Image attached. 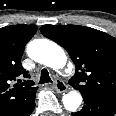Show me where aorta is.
Wrapping results in <instances>:
<instances>
[{
	"mask_svg": "<svg viewBox=\"0 0 116 116\" xmlns=\"http://www.w3.org/2000/svg\"><path fill=\"white\" fill-rule=\"evenodd\" d=\"M26 52L32 60L53 69L62 68L67 61L64 50L48 39L31 41L26 48ZM62 100L65 109L74 112L81 105L82 97L77 91H70L64 95Z\"/></svg>",
	"mask_w": 116,
	"mask_h": 116,
	"instance_id": "1",
	"label": "aorta"
}]
</instances>
